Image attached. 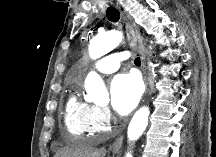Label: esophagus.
<instances>
[{
	"instance_id": "34e87169",
	"label": "esophagus",
	"mask_w": 216,
	"mask_h": 157,
	"mask_svg": "<svg viewBox=\"0 0 216 157\" xmlns=\"http://www.w3.org/2000/svg\"><path fill=\"white\" fill-rule=\"evenodd\" d=\"M116 8L119 10L122 18L127 21L130 19V16L123 5H121L119 2L115 3ZM131 36L137 41L138 49L141 55L142 60V66H143V74H144V83H145V92L148 90V78H147V71H146V51L145 47L143 45L142 39L140 37V34L136 28L129 27ZM123 142V136H119L111 145V150L116 152L119 151V149L122 146Z\"/></svg>"
}]
</instances>
